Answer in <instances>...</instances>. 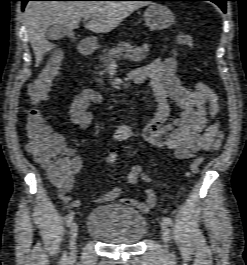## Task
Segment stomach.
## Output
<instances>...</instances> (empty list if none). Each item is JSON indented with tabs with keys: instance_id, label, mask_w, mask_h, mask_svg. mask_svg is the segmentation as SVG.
I'll list each match as a JSON object with an SVG mask.
<instances>
[{
	"instance_id": "obj_1",
	"label": "stomach",
	"mask_w": 247,
	"mask_h": 265,
	"mask_svg": "<svg viewBox=\"0 0 247 265\" xmlns=\"http://www.w3.org/2000/svg\"><path fill=\"white\" fill-rule=\"evenodd\" d=\"M146 25L151 30H163L170 27L175 17L171 10L158 3H152L144 12Z\"/></svg>"
}]
</instances>
